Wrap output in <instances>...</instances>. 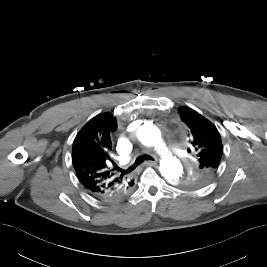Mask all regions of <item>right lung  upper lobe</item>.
Wrapping results in <instances>:
<instances>
[{
    "label": "right lung upper lobe",
    "instance_id": "right-lung-upper-lobe-1",
    "mask_svg": "<svg viewBox=\"0 0 267 267\" xmlns=\"http://www.w3.org/2000/svg\"><path fill=\"white\" fill-rule=\"evenodd\" d=\"M117 129L113 115L103 113L92 118L73 142L72 162L84 188L95 196H114L132 180L118 175L108 166L111 160L110 133Z\"/></svg>",
    "mask_w": 267,
    "mask_h": 267
}]
</instances>
